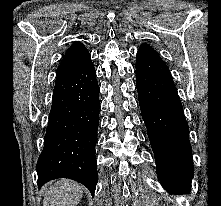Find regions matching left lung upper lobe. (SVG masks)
Returning a JSON list of instances; mask_svg holds the SVG:
<instances>
[{"label":"left lung upper lobe","mask_w":221,"mask_h":206,"mask_svg":"<svg viewBox=\"0 0 221 206\" xmlns=\"http://www.w3.org/2000/svg\"><path fill=\"white\" fill-rule=\"evenodd\" d=\"M136 70L171 76L167 65L163 62L158 53L148 44H142L137 52Z\"/></svg>","instance_id":"obj_1"}]
</instances>
